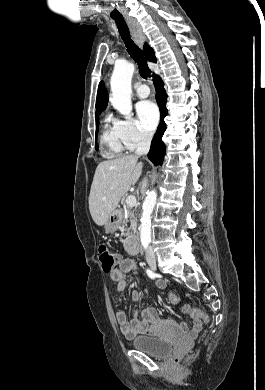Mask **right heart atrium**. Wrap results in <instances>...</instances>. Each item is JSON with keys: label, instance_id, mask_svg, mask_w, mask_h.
<instances>
[{"label": "right heart atrium", "instance_id": "right-heart-atrium-1", "mask_svg": "<svg viewBox=\"0 0 265 390\" xmlns=\"http://www.w3.org/2000/svg\"><path fill=\"white\" fill-rule=\"evenodd\" d=\"M120 137L129 150L149 143L151 134L139 127L133 119L115 120Z\"/></svg>", "mask_w": 265, "mask_h": 390}]
</instances>
